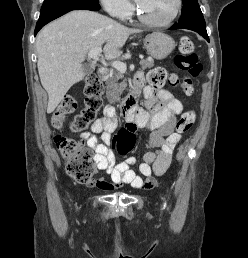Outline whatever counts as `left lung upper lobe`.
Instances as JSON below:
<instances>
[{
    "instance_id": "1",
    "label": "left lung upper lobe",
    "mask_w": 248,
    "mask_h": 258,
    "mask_svg": "<svg viewBox=\"0 0 248 258\" xmlns=\"http://www.w3.org/2000/svg\"><path fill=\"white\" fill-rule=\"evenodd\" d=\"M184 9L179 24H186L190 21L204 19L197 0H182Z\"/></svg>"
}]
</instances>
